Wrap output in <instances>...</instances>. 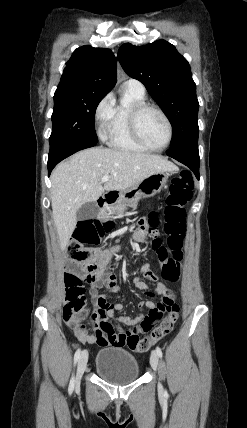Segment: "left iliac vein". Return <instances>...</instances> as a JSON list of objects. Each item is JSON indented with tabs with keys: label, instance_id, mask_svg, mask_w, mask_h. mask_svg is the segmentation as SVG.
Masks as SVG:
<instances>
[{
	"label": "left iliac vein",
	"instance_id": "obj_1",
	"mask_svg": "<svg viewBox=\"0 0 247 428\" xmlns=\"http://www.w3.org/2000/svg\"><path fill=\"white\" fill-rule=\"evenodd\" d=\"M150 364L152 366V368L156 371L158 369V364H159V358L158 355L156 353V351H152L151 352V356H150ZM158 388L161 390L162 389V385L161 383L158 384Z\"/></svg>",
	"mask_w": 247,
	"mask_h": 428
}]
</instances>
